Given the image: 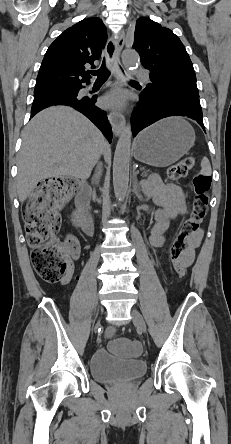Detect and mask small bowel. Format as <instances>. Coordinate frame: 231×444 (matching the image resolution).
I'll list each match as a JSON object with an SVG mask.
<instances>
[{"mask_svg": "<svg viewBox=\"0 0 231 444\" xmlns=\"http://www.w3.org/2000/svg\"><path fill=\"white\" fill-rule=\"evenodd\" d=\"M146 189L159 206V210L156 213V224L152 229V235L150 238L151 245L158 248L164 244V233L168 228L169 220L180 214L186 213L187 207L183 191L177 185L165 184L158 177H153L148 181ZM202 235V230H198L189 241L188 248L182 257V261L187 267L192 265L194 261L195 252L200 245ZM64 246L73 257L79 255V243L73 235L67 236ZM71 278L72 270H69L62 279L61 284H67ZM111 334L112 330L108 332V335Z\"/></svg>", "mask_w": 231, "mask_h": 444, "instance_id": "c3829d8e", "label": "small bowel"}]
</instances>
